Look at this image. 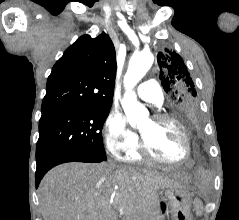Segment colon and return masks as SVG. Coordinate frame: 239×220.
Segmentation results:
<instances>
[{
    "mask_svg": "<svg viewBox=\"0 0 239 220\" xmlns=\"http://www.w3.org/2000/svg\"><path fill=\"white\" fill-rule=\"evenodd\" d=\"M161 208H162V210H165V205H164V204H162ZM179 220H185V217H184V216H182V217H181Z\"/></svg>",
    "mask_w": 239,
    "mask_h": 220,
    "instance_id": "obj_1",
    "label": "colon"
}]
</instances>
